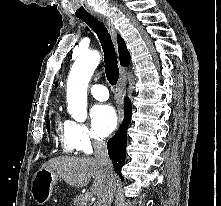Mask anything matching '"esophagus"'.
I'll return each mask as SVG.
<instances>
[{"label": "esophagus", "mask_w": 221, "mask_h": 206, "mask_svg": "<svg viewBox=\"0 0 221 206\" xmlns=\"http://www.w3.org/2000/svg\"><path fill=\"white\" fill-rule=\"evenodd\" d=\"M108 28L113 41L116 43V30L114 28V26L112 25V22L110 21V19H108L107 17L103 16V15H96ZM125 86H126V76H125V70L124 68H121V74H120V79H119V83H118V91L120 96L123 95L124 91H125Z\"/></svg>", "instance_id": "esophagus-1"}]
</instances>
